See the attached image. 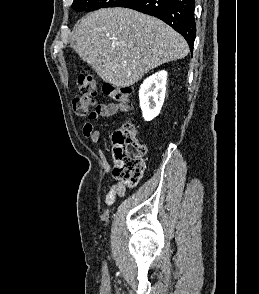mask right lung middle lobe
Here are the masks:
<instances>
[{
	"instance_id": "obj_1",
	"label": "right lung middle lobe",
	"mask_w": 259,
	"mask_h": 294,
	"mask_svg": "<svg viewBox=\"0 0 259 294\" xmlns=\"http://www.w3.org/2000/svg\"><path fill=\"white\" fill-rule=\"evenodd\" d=\"M128 0H74L72 8L76 11H94L105 7H119Z\"/></svg>"
}]
</instances>
